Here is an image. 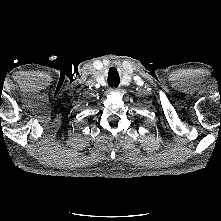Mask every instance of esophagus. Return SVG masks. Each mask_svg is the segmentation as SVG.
<instances>
[{
    "instance_id": "1",
    "label": "esophagus",
    "mask_w": 221,
    "mask_h": 221,
    "mask_svg": "<svg viewBox=\"0 0 221 221\" xmlns=\"http://www.w3.org/2000/svg\"><path fill=\"white\" fill-rule=\"evenodd\" d=\"M118 88H110V91H117Z\"/></svg>"
}]
</instances>
